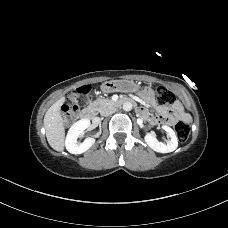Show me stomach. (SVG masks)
<instances>
[{"label":"stomach","mask_w":228,"mask_h":228,"mask_svg":"<svg viewBox=\"0 0 228 228\" xmlns=\"http://www.w3.org/2000/svg\"><path fill=\"white\" fill-rule=\"evenodd\" d=\"M140 86L130 80H111L101 85V90L105 93L113 92H137Z\"/></svg>","instance_id":"stomach-1"}]
</instances>
